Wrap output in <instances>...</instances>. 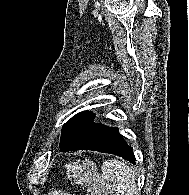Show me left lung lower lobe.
I'll list each match as a JSON object with an SVG mask.
<instances>
[{
	"label": "left lung lower lobe",
	"instance_id": "0a47b994",
	"mask_svg": "<svg viewBox=\"0 0 189 195\" xmlns=\"http://www.w3.org/2000/svg\"><path fill=\"white\" fill-rule=\"evenodd\" d=\"M94 118L95 116L86 122L66 144L60 146V151H99L115 154L135 163L132 148L119 134L118 128L96 124L93 122Z\"/></svg>",
	"mask_w": 189,
	"mask_h": 195
}]
</instances>
